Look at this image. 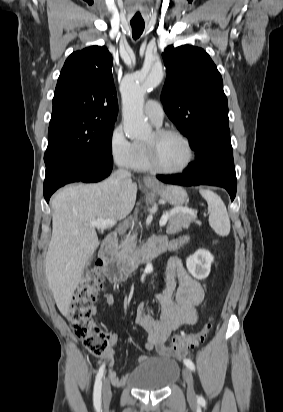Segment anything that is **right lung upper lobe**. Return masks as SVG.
<instances>
[{
  "label": "right lung upper lobe",
  "mask_w": 283,
  "mask_h": 412,
  "mask_svg": "<svg viewBox=\"0 0 283 412\" xmlns=\"http://www.w3.org/2000/svg\"><path fill=\"white\" fill-rule=\"evenodd\" d=\"M106 47L73 52L61 70L51 117L69 112L95 116L103 126H114L118 101Z\"/></svg>",
  "instance_id": "cb5924a9"
}]
</instances>
